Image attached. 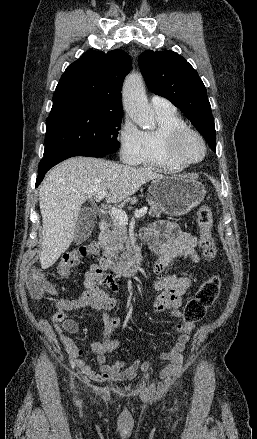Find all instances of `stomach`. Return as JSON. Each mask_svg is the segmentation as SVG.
Masks as SVG:
<instances>
[{
	"label": "stomach",
	"mask_w": 257,
	"mask_h": 439,
	"mask_svg": "<svg viewBox=\"0 0 257 439\" xmlns=\"http://www.w3.org/2000/svg\"><path fill=\"white\" fill-rule=\"evenodd\" d=\"M149 192L165 213L181 216L198 206L206 195L204 185L189 176H163L154 179Z\"/></svg>",
	"instance_id": "obj_1"
}]
</instances>
